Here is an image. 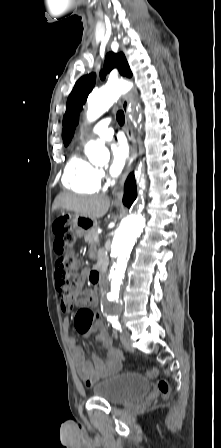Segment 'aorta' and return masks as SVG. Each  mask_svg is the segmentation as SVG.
<instances>
[{
  "label": "aorta",
  "mask_w": 221,
  "mask_h": 448,
  "mask_svg": "<svg viewBox=\"0 0 221 448\" xmlns=\"http://www.w3.org/2000/svg\"><path fill=\"white\" fill-rule=\"evenodd\" d=\"M132 86L127 81L107 83L102 88L94 91L87 100V119L92 122L105 113L113 103ZM85 154L93 164L103 165L109 160V151L100 141H89L85 146ZM137 180L142 189L145 188V180L138 171ZM145 220L142 215L130 214L125 217L116 230L112 244V264L109 273V283L106 294L115 301L119 297L120 286L124 278L127 262L135 240L143 231Z\"/></svg>",
  "instance_id": "1"
}]
</instances>
